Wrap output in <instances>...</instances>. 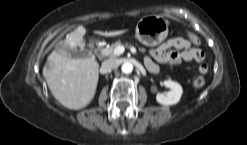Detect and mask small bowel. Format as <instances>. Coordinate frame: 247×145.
Returning a JSON list of instances; mask_svg holds the SVG:
<instances>
[{"label":"small bowel","instance_id":"small-bowel-1","mask_svg":"<svg viewBox=\"0 0 247 145\" xmlns=\"http://www.w3.org/2000/svg\"><path fill=\"white\" fill-rule=\"evenodd\" d=\"M200 39L192 35L189 39L174 37L166 40L160 46L150 51V56L145 59L146 67L153 73L158 71L154 62L179 64L181 62H203L205 53L198 47Z\"/></svg>","mask_w":247,"mask_h":145}]
</instances>
